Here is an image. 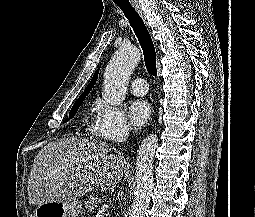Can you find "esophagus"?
Wrapping results in <instances>:
<instances>
[{
  "mask_svg": "<svg viewBox=\"0 0 255 217\" xmlns=\"http://www.w3.org/2000/svg\"><path fill=\"white\" fill-rule=\"evenodd\" d=\"M132 6L135 8V10L138 12L140 17L143 19L144 23L147 25L146 16L141 8L140 3H138L136 0L132 1Z\"/></svg>",
  "mask_w": 255,
  "mask_h": 217,
  "instance_id": "esophagus-1",
  "label": "esophagus"
}]
</instances>
